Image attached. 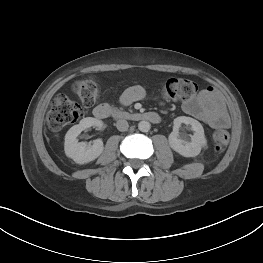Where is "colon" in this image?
Returning a JSON list of instances; mask_svg holds the SVG:
<instances>
[{"label":"colon","instance_id":"colon-1","mask_svg":"<svg viewBox=\"0 0 263 263\" xmlns=\"http://www.w3.org/2000/svg\"><path fill=\"white\" fill-rule=\"evenodd\" d=\"M197 84L186 78H170L163 84V95L168 100L186 102L197 93ZM73 91L83 103V106L65 95L56 96L47 116L48 126L58 131L76 122L85 111V107L94 104L99 97V87L94 79L76 82ZM212 142L216 150L224 149L229 142V134L225 130H216L212 134Z\"/></svg>","mask_w":263,"mask_h":263}]
</instances>
